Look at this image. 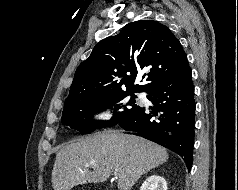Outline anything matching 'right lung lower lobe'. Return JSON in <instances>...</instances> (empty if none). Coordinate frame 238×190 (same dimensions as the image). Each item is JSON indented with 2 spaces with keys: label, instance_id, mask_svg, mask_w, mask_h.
Masks as SVG:
<instances>
[{
  "label": "right lung lower lobe",
  "instance_id": "1",
  "mask_svg": "<svg viewBox=\"0 0 238 190\" xmlns=\"http://www.w3.org/2000/svg\"><path fill=\"white\" fill-rule=\"evenodd\" d=\"M151 111L141 107L117 125L179 154L190 170L193 163L195 100L192 71L188 64L172 78L148 92Z\"/></svg>",
  "mask_w": 238,
  "mask_h": 190
}]
</instances>
